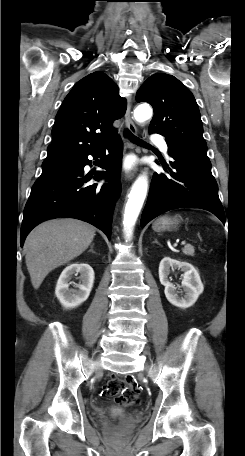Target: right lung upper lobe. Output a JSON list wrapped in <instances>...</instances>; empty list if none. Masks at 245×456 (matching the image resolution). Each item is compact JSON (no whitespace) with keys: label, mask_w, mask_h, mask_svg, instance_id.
Returning <instances> with one entry per match:
<instances>
[{"label":"right lung upper lobe","mask_w":245,"mask_h":456,"mask_svg":"<svg viewBox=\"0 0 245 456\" xmlns=\"http://www.w3.org/2000/svg\"><path fill=\"white\" fill-rule=\"evenodd\" d=\"M125 112L126 101L109 76L94 72L81 79L56 115L42 170L66 166L93 151L116 134L112 123Z\"/></svg>","instance_id":"obj_1"}]
</instances>
